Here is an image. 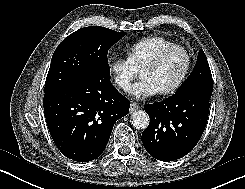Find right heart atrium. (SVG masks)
Returning a JSON list of instances; mask_svg holds the SVG:
<instances>
[{
  "instance_id": "right-heart-atrium-1",
  "label": "right heart atrium",
  "mask_w": 245,
  "mask_h": 189,
  "mask_svg": "<svg viewBox=\"0 0 245 189\" xmlns=\"http://www.w3.org/2000/svg\"><path fill=\"white\" fill-rule=\"evenodd\" d=\"M107 69L111 81L114 85L126 91L129 89L132 81L137 76L138 71L132 66L127 58H110L107 61Z\"/></svg>"
}]
</instances>
